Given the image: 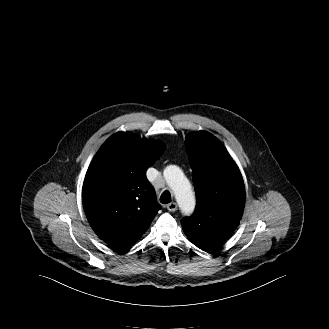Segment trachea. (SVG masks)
Segmentation results:
<instances>
[{
  "instance_id": "trachea-1",
  "label": "trachea",
  "mask_w": 329,
  "mask_h": 329,
  "mask_svg": "<svg viewBox=\"0 0 329 329\" xmlns=\"http://www.w3.org/2000/svg\"><path fill=\"white\" fill-rule=\"evenodd\" d=\"M160 202L163 204H168L171 202V194L168 190H165L160 196Z\"/></svg>"
}]
</instances>
